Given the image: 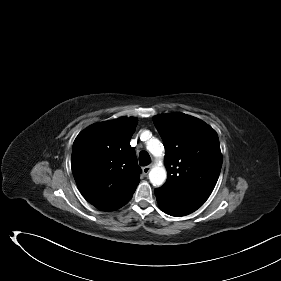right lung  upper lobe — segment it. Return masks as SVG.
I'll use <instances>...</instances> for the list:
<instances>
[{"instance_id":"right-lung-upper-lobe-1","label":"right lung upper lobe","mask_w":281,"mask_h":281,"mask_svg":"<svg viewBox=\"0 0 281 281\" xmlns=\"http://www.w3.org/2000/svg\"><path fill=\"white\" fill-rule=\"evenodd\" d=\"M137 118L120 117L93 124L73 144L71 167L84 198L100 211H114L132 197L140 179L130 139Z\"/></svg>"}]
</instances>
